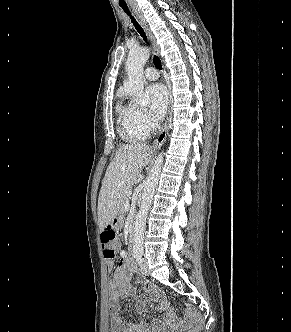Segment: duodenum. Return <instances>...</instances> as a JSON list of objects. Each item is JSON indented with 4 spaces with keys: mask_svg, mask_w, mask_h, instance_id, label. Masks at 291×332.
I'll use <instances>...</instances> for the list:
<instances>
[{
    "mask_svg": "<svg viewBox=\"0 0 291 332\" xmlns=\"http://www.w3.org/2000/svg\"><path fill=\"white\" fill-rule=\"evenodd\" d=\"M135 228V221L133 220L131 222V229L133 230ZM130 253H132V247L130 248Z\"/></svg>",
    "mask_w": 291,
    "mask_h": 332,
    "instance_id": "obj_1",
    "label": "duodenum"
}]
</instances>
